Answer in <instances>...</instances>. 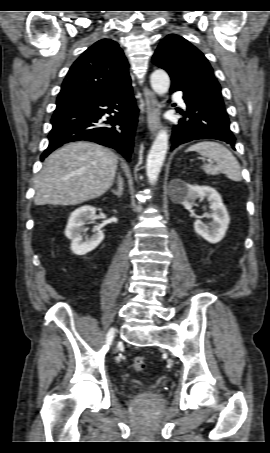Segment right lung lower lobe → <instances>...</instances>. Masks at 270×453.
Listing matches in <instances>:
<instances>
[{
    "label": "right lung lower lobe",
    "instance_id": "1",
    "mask_svg": "<svg viewBox=\"0 0 270 453\" xmlns=\"http://www.w3.org/2000/svg\"><path fill=\"white\" fill-rule=\"evenodd\" d=\"M137 112L131 83L96 99L57 104L49 146L41 160L67 142L87 140L114 148L129 161ZM103 116H108V120H101Z\"/></svg>",
    "mask_w": 270,
    "mask_h": 453
}]
</instances>
